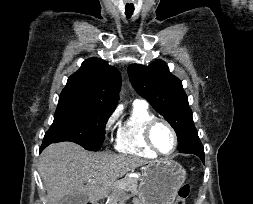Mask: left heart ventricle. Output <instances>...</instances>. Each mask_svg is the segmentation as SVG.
Masks as SVG:
<instances>
[{
	"instance_id": "obj_1",
	"label": "left heart ventricle",
	"mask_w": 253,
	"mask_h": 204,
	"mask_svg": "<svg viewBox=\"0 0 253 204\" xmlns=\"http://www.w3.org/2000/svg\"><path fill=\"white\" fill-rule=\"evenodd\" d=\"M152 139L156 147L163 153H169L173 149V136L164 124L159 123L154 127Z\"/></svg>"
}]
</instances>
